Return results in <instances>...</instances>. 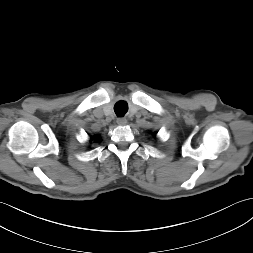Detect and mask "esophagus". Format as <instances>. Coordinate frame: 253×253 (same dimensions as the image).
Listing matches in <instances>:
<instances>
[{
    "label": "esophagus",
    "instance_id": "34e87169",
    "mask_svg": "<svg viewBox=\"0 0 253 253\" xmlns=\"http://www.w3.org/2000/svg\"><path fill=\"white\" fill-rule=\"evenodd\" d=\"M116 122H117L118 125H122L123 126V125H126L127 120H126V118H122L121 117V118H118Z\"/></svg>",
    "mask_w": 253,
    "mask_h": 253
}]
</instances>
